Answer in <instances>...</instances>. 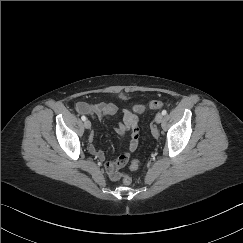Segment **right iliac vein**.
<instances>
[{"label":"right iliac vein","instance_id":"obj_1","mask_svg":"<svg viewBox=\"0 0 243 243\" xmlns=\"http://www.w3.org/2000/svg\"><path fill=\"white\" fill-rule=\"evenodd\" d=\"M84 126H85L86 129H91V122L89 120H86L84 122Z\"/></svg>","mask_w":243,"mask_h":243}]
</instances>
